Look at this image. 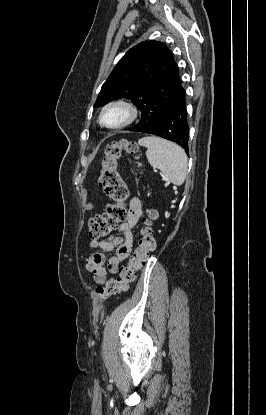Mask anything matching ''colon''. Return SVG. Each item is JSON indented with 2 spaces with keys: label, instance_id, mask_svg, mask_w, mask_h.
Returning <instances> with one entry per match:
<instances>
[{
  "label": "colon",
  "instance_id": "colon-1",
  "mask_svg": "<svg viewBox=\"0 0 266 415\" xmlns=\"http://www.w3.org/2000/svg\"><path fill=\"white\" fill-rule=\"evenodd\" d=\"M123 151L133 155L136 159L138 158V146L129 140L111 142L103 152L99 186L112 200V203L107 205L104 213L92 217L89 221V236L96 240L108 236L120 222L127 218L124 202L128 197V189L118 171V162ZM155 218L156 213L149 211L140 231L138 246L131 255L128 264L121 268L116 278L109 280L103 287L97 289V294L101 299H107L127 291L136 280L139 270L144 266L150 252L156 246L152 229V222Z\"/></svg>",
  "mask_w": 266,
  "mask_h": 415
}]
</instances>
